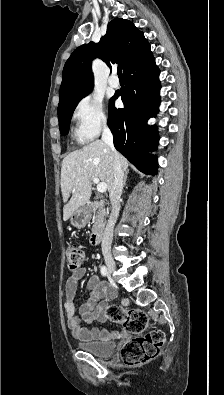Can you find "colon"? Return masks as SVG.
<instances>
[{
    "label": "colon",
    "mask_w": 224,
    "mask_h": 395,
    "mask_svg": "<svg viewBox=\"0 0 224 395\" xmlns=\"http://www.w3.org/2000/svg\"><path fill=\"white\" fill-rule=\"evenodd\" d=\"M65 254L69 269L77 270L84 260L81 248L71 245L66 249ZM106 315L114 323L121 324L127 332L136 335L125 342L120 349V357L126 364L142 365L154 360L160 354L165 342V334L160 329H152L144 333L148 327V318L143 311L110 305Z\"/></svg>",
    "instance_id": "colon-1"
}]
</instances>
